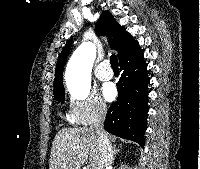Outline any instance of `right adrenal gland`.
<instances>
[{"label":"right adrenal gland","mask_w":200,"mask_h":169,"mask_svg":"<svg viewBox=\"0 0 200 169\" xmlns=\"http://www.w3.org/2000/svg\"><path fill=\"white\" fill-rule=\"evenodd\" d=\"M113 154H114V156L116 157L117 156V154H118V152L120 151V148L118 147V148H116L115 146L113 147Z\"/></svg>","instance_id":"right-adrenal-gland-1"}]
</instances>
